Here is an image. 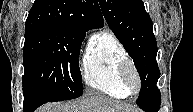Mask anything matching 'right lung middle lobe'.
<instances>
[{
  "label": "right lung middle lobe",
  "mask_w": 193,
  "mask_h": 112,
  "mask_svg": "<svg viewBox=\"0 0 193 112\" xmlns=\"http://www.w3.org/2000/svg\"><path fill=\"white\" fill-rule=\"evenodd\" d=\"M86 32L41 28L25 32L23 94L27 102H57L83 94L79 53Z\"/></svg>",
  "instance_id": "obj_1"
}]
</instances>
